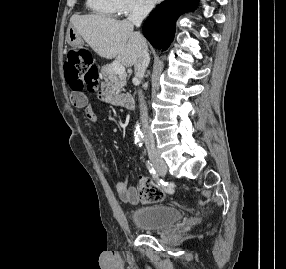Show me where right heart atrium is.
<instances>
[{"label":"right heart atrium","instance_id":"d8ad5b80","mask_svg":"<svg viewBox=\"0 0 286 269\" xmlns=\"http://www.w3.org/2000/svg\"><path fill=\"white\" fill-rule=\"evenodd\" d=\"M118 12L121 15H142L151 11L149 0H117Z\"/></svg>","mask_w":286,"mask_h":269}]
</instances>
